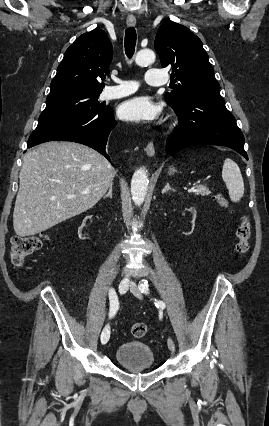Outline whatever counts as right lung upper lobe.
Masks as SVG:
<instances>
[{"label": "right lung upper lobe", "mask_w": 269, "mask_h": 426, "mask_svg": "<svg viewBox=\"0 0 269 426\" xmlns=\"http://www.w3.org/2000/svg\"><path fill=\"white\" fill-rule=\"evenodd\" d=\"M112 57V44L103 30L82 34L66 50L50 92L66 89L101 92L104 84L97 77L109 73Z\"/></svg>", "instance_id": "cb5924a9"}]
</instances>
